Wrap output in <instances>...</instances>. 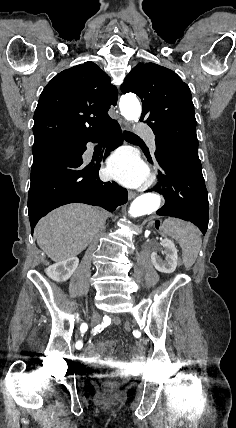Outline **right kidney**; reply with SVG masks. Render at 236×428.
<instances>
[{
  "mask_svg": "<svg viewBox=\"0 0 236 428\" xmlns=\"http://www.w3.org/2000/svg\"><path fill=\"white\" fill-rule=\"evenodd\" d=\"M79 266V260L76 256H70L67 260L56 262L53 266H49L46 270L47 276L55 282H66L74 274L76 268Z\"/></svg>",
  "mask_w": 236,
  "mask_h": 428,
  "instance_id": "1",
  "label": "right kidney"
}]
</instances>
